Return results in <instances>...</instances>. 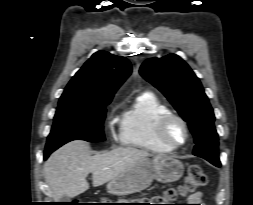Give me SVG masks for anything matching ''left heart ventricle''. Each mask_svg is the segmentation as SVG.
Listing matches in <instances>:
<instances>
[{
	"instance_id": "left-heart-ventricle-1",
	"label": "left heart ventricle",
	"mask_w": 253,
	"mask_h": 205,
	"mask_svg": "<svg viewBox=\"0 0 253 205\" xmlns=\"http://www.w3.org/2000/svg\"><path fill=\"white\" fill-rule=\"evenodd\" d=\"M169 137L176 142H180L184 139V131L179 123H173L168 131Z\"/></svg>"
}]
</instances>
